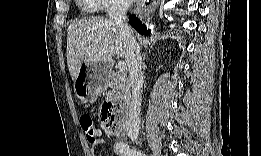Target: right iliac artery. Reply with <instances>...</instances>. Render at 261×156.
I'll use <instances>...</instances> for the list:
<instances>
[{
  "label": "right iliac artery",
  "instance_id": "obj_1",
  "mask_svg": "<svg viewBox=\"0 0 261 156\" xmlns=\"http://www.w3.org/2000/svg\"><path fill=\"white\" fill-rule=\"evenodd\" d=\"M115 151L117 154H120L122 156H141L142 153L140 151L135 150L131 146L123 143V142H117L115 144Z\"/></svg>",
  "mask_w": 261,
  "mask_h": 156
}]
</instances>
